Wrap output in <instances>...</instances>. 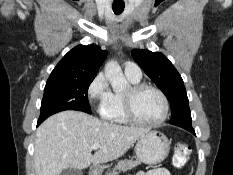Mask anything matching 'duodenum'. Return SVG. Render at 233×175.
I'll list each match as a JSON object with an SVG mask.
<instances>
[{"label": "duodenum", "mask_w": 233, "mask_h": 175, "mask_svg": "<svg viewBox=\"0 0 233 175\" xmlns=\"http://www.w3.org/2000/svg\"><path fill=\"white\" fill-rule=\"evenodd\" d=\"M92 175H98V170L97 169H92Z\"/></svg>", "instance_id": "1"}]
</instances>
